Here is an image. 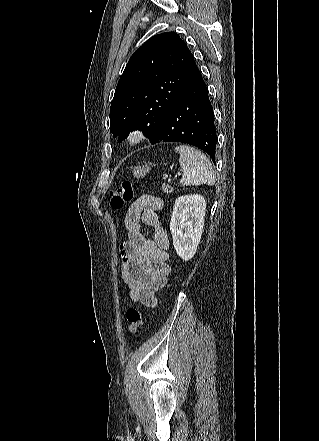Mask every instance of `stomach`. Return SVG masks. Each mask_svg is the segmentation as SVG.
<instances>
[{"mask_svg": "<svg viewBox=\"0 0 319 441\" xmlns=\"http://www.w3.org/2000/svg\"><path fill=\"white\" fill-rule=\"evenodd\" d=\"M150 171V167L148 165L144 166H136L133 169V176L135 178H142Z\"/></svg>", "mask_w": 319, "mask_h": 441, "instance_id": "stomach-1", "label": "stomach"}]
</instances>
